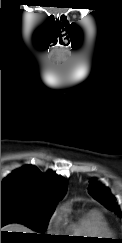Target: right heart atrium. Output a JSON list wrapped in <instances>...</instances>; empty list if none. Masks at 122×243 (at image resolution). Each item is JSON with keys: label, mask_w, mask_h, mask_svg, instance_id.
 Instances as JSON below:
<instances>
[{"label": "right heart atrium", "mask_w": 122, "mask_h": 243, "mask_svg": "<svg viewBox=\"0 0 122 243\" xmlns=\"http://www.w3.org/2000/svg\"><path fill=\"white\" fill-rule=\"evenodd\" d=\"M63 225V215L61 210H56L50 219V227L54 231H58Z\"/></svg>", "instance_id": "obj_1"}]
</instances>
